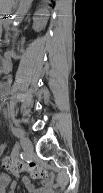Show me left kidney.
<instances>
[{"label":"left kidney","mask_w":103,"mask_h":193,"mask_svg":"<svg viewBox=\"0 0 103 193\" xmlns=\"http://www.w3.org/2000/svg\"><path fill=\"white\" fill-rule=\"evenodd\" d=\"M48 10L43 8V9H39L35 14H34V17H33V28L35 30H38L39 27L44 24L46 21H47V16H48Z\"/></svg>","instance_id":"obj_1"}]
</instances>
